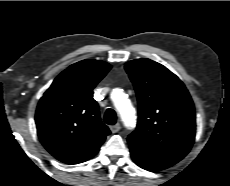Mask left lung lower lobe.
<instances>
[{"mask_svg":"<svg viewBox=\"0 0 230 186\" xmlns=\"http://www.w3.org/2000/svg\"><path fill=\"white\" fill-rule=\"evenodd\" d=\"M130 152L133 161L138 166L148 171H160L180 161L173 157L143 152L133 146H130Z\"/></svg>","mask_w":230,"mask_h":186,"instance_id":"obj_1","label":"left lung lower lobe"}]
</instances>
